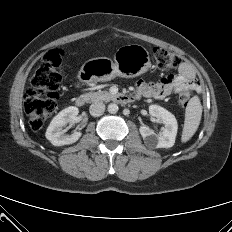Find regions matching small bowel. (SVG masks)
Returning a JSON list of instances; mask_svg holds the SVG:
<instances>
[{
  "label": "small bowel",
  "mask_w": 232,
  "mask_h": 232,
  "mask_svg": "<svg viewBox=\"0 0 232 232\" xmlns=\"http://www.w3.org/2000/svg\"><path fill=\"white\" fill-rule=\"evenodd\" d=\"M186 87L198 90L199 83L192 64L183 61L179 65L177 74L167 75L157 83L138 81L136 83V95L145 98L164 99Z\"/></svg>",
  "instance_id": "c3829d8e"
}]
</instances>
